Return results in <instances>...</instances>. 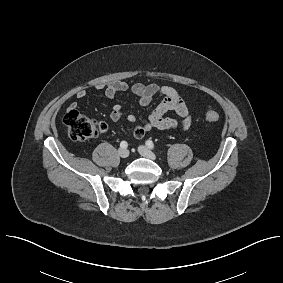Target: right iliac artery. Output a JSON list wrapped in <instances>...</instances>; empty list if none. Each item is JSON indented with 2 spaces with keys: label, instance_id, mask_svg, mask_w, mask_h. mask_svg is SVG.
Returning <instances> with one entry per match:
<instances>
[{
  "label": "right iliac artery",
  "instance_id": "right-iliac-artery-1",
  "mask_svg": "<svg viewBox=\"0 0 283 283\" xmlns=\"http://www.w3.org/2000/svg\"><path fill=\"white\" fill-rule=\"evenodd\" d=\"M127 146H128V144H127L126 141H122V142L120 143V147L123 148V149H126Z\"/></svg>",
  "mask_w": 283,
  "mask_h": 283
}]
</instances>
